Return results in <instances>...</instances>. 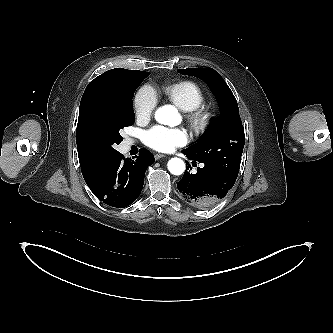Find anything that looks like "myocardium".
<instances>
[{"label": "myocardium", "mask_w": 333, "mask_h": 333, "mask_svg": "<svg viewBox=\"0 0 333 333\" xmlns=\"http://www.w3.org/2000/svg\"><path fill=\"white\" fill-rule=\"evenodd\" d=\"M214 110L208 106H199L186 112V119L196 134L206 132L214 119Z\"/></svg>", "instance_id": "obj_1"}]
</instances>
